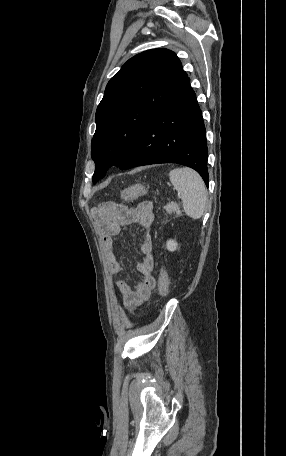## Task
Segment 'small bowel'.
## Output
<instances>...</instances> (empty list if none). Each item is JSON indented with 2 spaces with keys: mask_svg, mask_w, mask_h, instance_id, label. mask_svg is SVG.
Listing matches in <instances>:
<instances>
[{
  "mask_svg": "<svg viewBox=\"0 0 286 456\" xmlns=\"http://www.w3.org/2000/svg\"><path fill=\"white\" fill-rule=\"evenodd\" d=\"M93 218L102 233L107 268L111 273L117 274L122 271V266L117 259L114 237L120 233L123 225L137 223L144 229H150L155 221V213L151 202H142L135 207L112 202L111 209L95 210ZM152 249V242L147 237L141 246L144 256L137 267L142 279L136 286H131L126 280L116 282L123 304L128 309H133L146 301L155 286V279L152 276L154 267Z\"/></svg>",
  "mask_w": 286,
  "mask_h": 456,
  "instance_id": "c3829d8e",
  "label": "small bowel"
}]
</instances>
